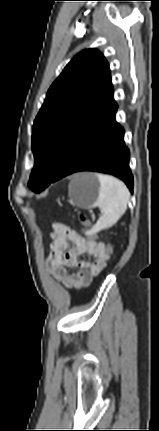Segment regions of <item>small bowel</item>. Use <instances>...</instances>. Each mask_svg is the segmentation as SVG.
I'll return each mask as SVG.
<instances>
[{"mask_svg": "<svg viewBox=\"0 0 159 431\" xmlns=\"http://www.w3.org/2000/svg\"><path fill=\"white\" fill-rule=\"evenodd\" d=\"M51 239L48 257L50 269L52 275L67 289L87 287L111 260V255L105 253V244L85 239L65 225L54 224ZM83 254H89L94 260H80ZM71 268L75 271L69 272Z\"/></svg>", "mask_w": 159, "mask_h": 431, "instance_id": "1", "label": "small bowel"}]
</instances>
